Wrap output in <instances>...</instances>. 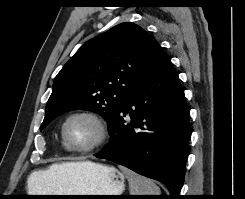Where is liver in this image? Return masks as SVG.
Returning <instances> with one entry per match:
<instances>
[{
  "instance_id": "6515ba94",
  "label": "liver",
  "mask_w": 245,
  "mask_h": 199,
  "mask_svg": "<svg viewBox=\"0 0 245 199\" xmlns=\"http://www.w3.org/2000/svg\"><path fill=\"white\" fill-rule=\"evenodd\" d=\"M89 163L91 162L53 164L47 170L33 172L29 177V184H35L44 193H61L65 190V184L70 179L74 170Z\"/></svg>"
}]
</instances>
